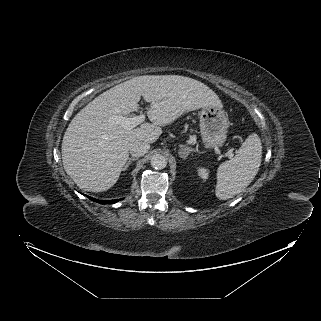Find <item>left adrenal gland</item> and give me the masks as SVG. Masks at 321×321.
Segmentation results:
<instances>
[{
  "label": "left adrenal gland",
  "mask_w": 321,
  "mask_h": 321,
  "mask_svg": "<svg viewBox=\"0 0 321 321\" xmlns=\"http://www.w3.org/2000/svg\"><path fill=\"white\" fill-rule=\"evenodd\" d=\"M179 155L182 159H186L187 156L190 154V152H193L194 150L186 145H179Z\"/></svg>",
  "instance_id": "a2214340"
}]
</instances>
